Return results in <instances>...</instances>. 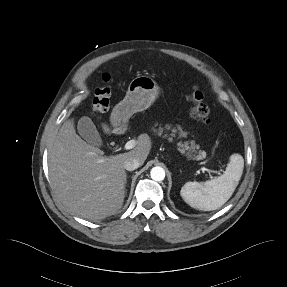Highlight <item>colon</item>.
<instances>
[{"mask_svg":"<svg viewBox=\"0 0 287 287\" xmlns=\"http://www.w3.org/2000/svg\"><path fill=\"white\" fill-rule=\"evenodd\" d=\"M111 90L106 86H101L96 89L93 100V111L95 114H103L108 111L110 106ZM188 99L191 102V116L202 124L210 122V109L204 102V96L200 89L194 87L191 89Z\"/></svg>","mask_w":287,"mask_h":287,"instance_id":"colon-1","label":"colon"}]
</instances>
